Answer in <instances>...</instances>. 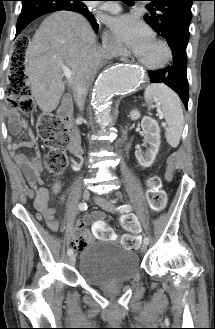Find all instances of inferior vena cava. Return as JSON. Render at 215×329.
Listing matches in <instances>:
<instances>
[{
    "instance_id": "obj_1",
    "label": "inferior vena cava",
    "mask_w": 215,
    "mask_h": 329,
    "mask_svg": "<svg viewBox=\"0 0 215 329\" xmlns=\"http://www.w3.org/2000/svg\"><path fill=\"white\" fill-rule=\"evenodd\" d=\"M111 48L107 44L91 49L83 59L78 76L73 85V95L80 111L84 109L85 99L93 77L99 69L103 59L111 55Z\"/></svg>"
}]
</instances>
